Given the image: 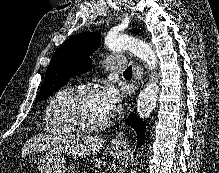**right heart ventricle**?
Wrapping results in <instances>:
<instances>
[{"label": "right heart ventricle", "mask_w": 219, "mask_h": 173, "mask_svg": "<svg viewBox=\"0 0 219 173\" xmlns=\"http://www.w3.org/2000/svg\"><path fill=\"white\" fill-rule=\"evenodd\" d=\"M73 90L71 85H67L57 90L50 97L43 113L45 131L55 135H69L73 133L65 125L61 117V105Z\"/></svg>", "instance_id": "obj_1"}]
</instances>
